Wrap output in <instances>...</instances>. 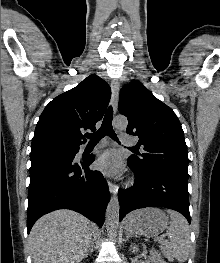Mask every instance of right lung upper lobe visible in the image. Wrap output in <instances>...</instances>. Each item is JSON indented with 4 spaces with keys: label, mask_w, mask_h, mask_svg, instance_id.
Returning <instances> with one entry per match:
<instances>
[{
    "label": "right lung upper lobe",
    "mask_w": 220,
    "mask_h": 263,
    "mask_svg": "<svg viewBox=\"0 0 220 263\" xmlns=\"http://www.w3.org/2000/svg\"><path fill=\"white\" fill-rule=\"evenodd\" d=\"M111 97L109 85L90 75L75 88L55 97L42 112L32 140V151L79 148L83 132L95 131Z\"/></svg>",
    "instance_id": "cb5924a9"
}]
</instances>
